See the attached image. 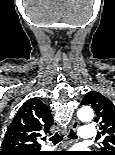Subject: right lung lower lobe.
Returning <instances> with one entry per match:
<instances>
[{"mask_svg": "<svg viewBox=\"0 0 115 155\" xmlns=\"http://www.w3.org/2000/svg\"><path fill=\"white\" fill-rule=\"evenodd\" d=\"M23 155H43V153L40 151H33V152L25 153Z\"/></svg>", "mask_w": 115, "mask_h": 155, "instance_id": "obj_1", "label": "right lung lower lobe"}]
</instances>
